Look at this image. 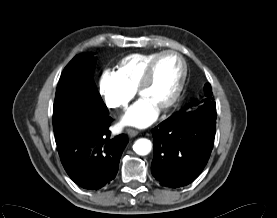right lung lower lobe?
Segmentation results:
<instances>
[{
  "instance_id": "98d812e1",
  "label": "right lung lower lobe",
  "mask_w": 277,
  "mask_h": 218,
  "mask_svg": "<svg viewBox=\"0 0 277 218\" xmlns=\"http://www.w3.org/2000/svg\"><path fill=\"white\" fill-rule=\"evenodd\" d=\"M83 96H87L83 86L74 82L57 87L56 98L80 102L84 101ZM111 122L112 118L108 115L101 117L57 144L67 174L82 188H102L110 184L118 172L128 138L124 134L110 138L108 128Z\"/></svg>"
}]
</instances>
